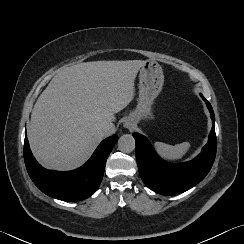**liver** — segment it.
I'll list each match as a JSON object with an SVG mask.
<instances>
[{"instance_id":"6515ba94","label":"liver","mask_w":244,"mask_h":244,"mask_svg":"<svg viewBox=\"0 0 244 244\" xmlns=\"http://www.w3.org/2000/svg\"><path fill=\"white\" fill-rule=\"evenodd\" d=\"M144 63L93 61L62 68L32 110L27 134L37 161L58 171L83 165L104 138L102 124L133 100Z\"/></svg>"}]
</instances>
